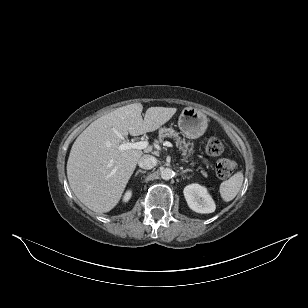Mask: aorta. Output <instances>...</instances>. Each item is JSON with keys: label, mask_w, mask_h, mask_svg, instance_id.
Instances as JSON below:
<instances>
[{"label": "aorta", "mask_w": 308, "mask_h": 308, "mask_svg": "<svg viewBox=\"0 0 308 308\" xmlns=\"http://www.w3.org/2000/svg\"><path fill=\"white\" fill-rule=\"evenodd\" d=\"M173 173H174V172H173L172 169H170V168H164V169L161 170L160 175H161V178H162V179H164V180H169V179L172 178Z\"/></svg>", "instance_id": "1"}]
</instances>
